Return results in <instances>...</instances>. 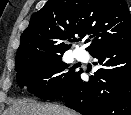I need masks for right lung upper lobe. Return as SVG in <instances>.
I'll return each instance as SVG.
<instances>
[{
	"label": "right lung upper lobe",
	"mask_w": 131,
	"mask_h": 115,
	"mask_svg": "<svg viewBox=\"0 0 131 115\" xmlns=\"http://www.w3.org/2000/svg\"><path fill=\"white\" fill-rule=\"evenodd\" d=\"M87 34H92L86 48L90 54L130 43L131 16L126 1L49 0L32 15L21 35L15 63L33 54L65 52L71 47L68 42Z\"/></svg>",
	"instance_id": "obj_1"
}]
</instances>
